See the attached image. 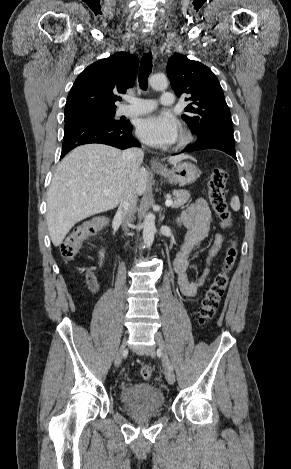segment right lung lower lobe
Returning a JSON list of instances; mask_svg holds the SVG:
<instances>
[{
  "instance_id": "98d812e1",
  "label": "right lung lower lobe",
  "mask_w": 291,
  "mask_h": 469,
  "mask_svg": "<svg viewBox=\"0 0 291 469\" xmlns=\"http://www.w3.org/2000/svg\"><path fill=\"white\" fill-rule=\"evenodd\" d=\"M128 121H106L97 118H76L65 122L61 157L73 148L89 143H101L120 149L140 147L132 136Z\"/></svg>"
}]
</instances>
